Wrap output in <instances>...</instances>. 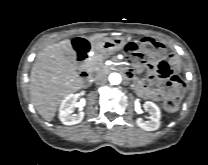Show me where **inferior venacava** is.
Segmentation results:
<instances>
[{"label": "inferior vena cava", "instance_id": "1", "mask_svg": "<svg viewBox=\"0 0 208 165\" xmlns=\"http://www.w3.org/2000/svg\"><path fill=\"white\" fill-rule=\"evenodd\" d=\"M106 82H107L106 76H104V75H98L96 77L95 83L97 85H102V84H105Z\"/></svg>", "mask_w": 208, "mask_h": 165}]
</instances>
